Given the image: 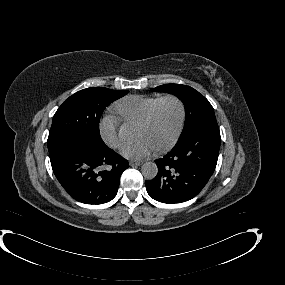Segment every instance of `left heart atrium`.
I'll use <instances>...</instances> for the list:
<instances>
[{"label": "left heart atrium", "instance_id": "left-heart-atrium-1", "mask_svg": "<svg viewBox=\"0 0 285 285\" xmlns=\"http://www.w3.org/2000/svg\"><path fill=\"white\" fill-rule=\"evenodd\" d=\"M152 149L153 144L149 140L140 138L124 145L122 154L131 159H143L150 154Z\"/></svg>", "mask_w": 285, "mask_h": 285}]
</instances>
